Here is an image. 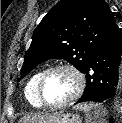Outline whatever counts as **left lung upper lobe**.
<instances>
[{"label":"left lung upper lobe","instance_id":"obj_1","mask_svg":"<svg viewBox=\"0 0 122 123\" xmlns=\"http://www.w3.org/2000/svg\"><path fill=\"white\" fill-rule=\"evenodd\" d=\"M115 22L104 0H61L34 30L21 78L52 58L65 59L83 72L94 49Z\"/></svg>","mask_w":122,"mask_h":123}]
</instances>
